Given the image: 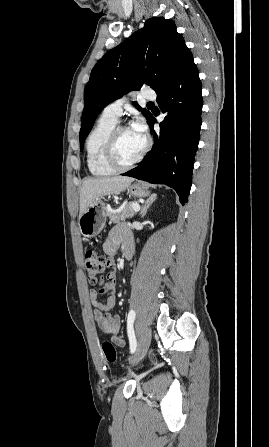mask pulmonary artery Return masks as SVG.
Returning a JSON list of instances; mask_svg holds the SVG:
<instances>
[{"mask_svg":"<svg viewBox=\"0 0 269 447\" xmlns=\"http://www.w3.org/2000/svg\"><path fill=\"white\" fill-rule=\"evenodd\" d=\"M143 96L145 99H155L157 97V92L155 90H145ZM127 101L128 97H120L109 103L105 107L103 113L114 120H118L122 114V107L125 103H127Z\"/></svg>","mask_w":269,"mask_h":447,"instance_id":"pulmonary-artery-1","label":"pulmonary artery"}]
</instances>
